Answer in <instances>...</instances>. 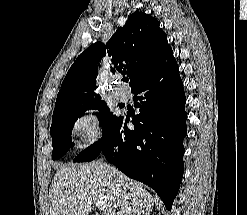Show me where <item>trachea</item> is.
<instances>
[{"label":"trachea","instance_id":"3493384b","mask_svg":"<svg viewBox=\"0 0 247 215\" xmlns=\"http://www.w3.org/2000/svg\"><path fill=\"white\" fill-rule=\"evenodd\" d=\"M123 80L128 83V78L124 77Z\"/></svg>","mask_w":247,"mask_h":215}]
</instances>
